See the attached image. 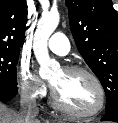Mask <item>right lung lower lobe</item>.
<instances>
[{
  "mask_svg": "<svg viewBox=\"0 0 118 123\" xmlns=\"http://www.w3.org/2000/svg\"><path fill=\"white\" fill-rule=\"evenodd\" d=\"M17 94V87L6 88L0 87V101H10Z\"/></svg>",
  "mask_w": 118,
  "mask_h": 123,
  "instance_id": "1",
  "label": "right lung lower lobe"
}]
</instances>
